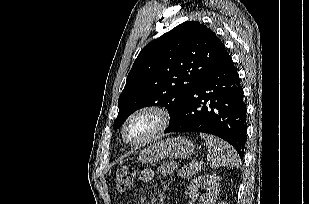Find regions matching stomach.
<instances>
[{
	"label": "stomach",
	"instance_id": "stomach-1",
	"mask_svg": "<svg viewBox=\"0 0 309 204\" xmlns=\"http://www.w3.org/2000/svg\"><path fill=\"white\" fill-rule=\"evenodd\" d=\"M194 151L193 143L185 137H172L157 141L139 153V160L143 163H152L165 158L184 159Z\"/></svg>",
	"mask_w": 309,
	"mask_h": 204
}]
</instances>
